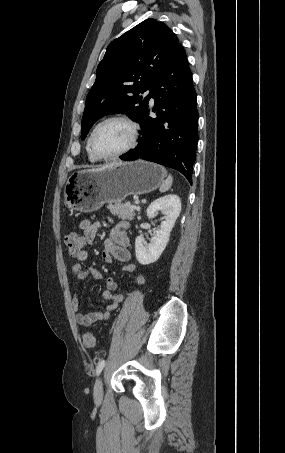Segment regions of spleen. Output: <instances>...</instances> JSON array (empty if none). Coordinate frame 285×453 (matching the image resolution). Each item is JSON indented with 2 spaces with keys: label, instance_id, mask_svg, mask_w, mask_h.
<instances>
[{
  "label": "spleen",
  "instance_id": "spleen-1",
  "mask_svg": "<svg viewBox=\"0 0 285 453\" xmlns=\"http://www.w3.org/2000/svg\"><path fill=\"white\" fill-rule=\"evenodd\" d=\"M172 182H173V178L171 175H169L168 178L162 182L160 189H159L160 192H165V191L169 190V188L172 185Z\"/></svg>",
  "mask_w": 285,
  "mask_h": 453
}]
</instances>
